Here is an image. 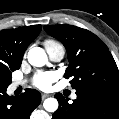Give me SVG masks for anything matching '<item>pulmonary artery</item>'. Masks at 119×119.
I'll return each instance as SVG.
<instances>
[{
    "label": "pulmonary artery",
    "instance_id": "obj_1",
    "mask_svg": "<svg viewBox=\"0 0 119 119\" xmlns=\"http://www.w3.org/2000/svg\"><path fill=\"white\" fill-rule=\"evenodd\" d=\"M47 53L50 57V59L54 62H59L64 58L65 55V50L63 46L61 45H54V46H49L46 47ZM25 84V81H14L11 85V89L15 90L17 87ZM72 98H76V94L72 93Z\"/></svg>",
    "mask_w": 119,
    "mask_h": 119
}]
</instances>
